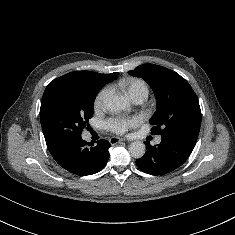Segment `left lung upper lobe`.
I'll use <instances>...</instances> for the list:
<instances>
[{"instance_id":"5c2ea615","label":"left lung upper lobe","mask_w":235,"mask_h":235,"mask_svg":"<svg viewBox=\"0 0 235 235\" xmlns=\"http://www.w3.org/2000/svg\"><path fill=\"white\" fill-rule=\"evenodd\" d=\"M129 74L143 78L154 91L157 111L150 119L152 134L198 137L201 110L195 92L183 77L154 64L138 66Z\"/></svg>"}]
</instances>
